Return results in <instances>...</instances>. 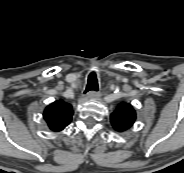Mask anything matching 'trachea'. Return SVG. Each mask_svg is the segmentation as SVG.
Listing matches in <instances>:
<instances>
[{
  "label": "trachea",
  "mask_w": 184,
  "mask_h": 173,
  "mask_svg": "<svg viewBox=\"0 0 184 173\" xmlns=\"http://www.w3.org/2000/svg\"><path fill=\"white\" fill-rule=\"evenodd\" d=\"M98 87L99 85H98L97 75L95 72H91L88 76V83L84 93L88 91H97Z\"/></svg>",
  "instance_id": "trachea-1"
}]
</instances>
